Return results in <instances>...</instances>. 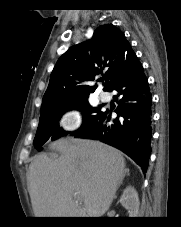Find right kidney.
<instances>
[{
    "instance_id": "1",
    "label": "right kidney",
    "mask_w": 181,
    "mask_h": 227,
    "mask_svg": "<svg viewBox=\"0 0 181 227\" xmlns=\"http://www.w3.org/2000/svg\"><path fill=\"white\" fill-rule=\"evenodd\" d=\"M121 205L128 211L129 217H137L139 213V198L134 187L127 186L120 198Z\"/></svg>"
}]
</instances>
